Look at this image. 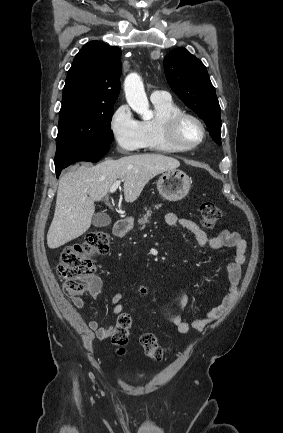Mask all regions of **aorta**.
<instances>
[{
    "instance_id": "762f6f07",
    "label": "aorta",
    "mask_w": 283,
    "mask_h": 433,
    "mask_svg": "<svg viewBox=\"0 0 283 433\" xmlns=\"http://www.w3.org/2000/svg\"><path fill=\"white\" fill-rule=\"evenodd\" d=\"M124 91L129 106L142 116L143 120L153 118V112L149 109V102L142 79L137 73L127 75L124 81Z\"/></svg>"
}]
</instances>
